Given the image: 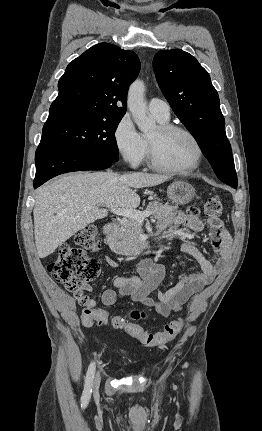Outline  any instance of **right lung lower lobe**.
I'll return each mask as SVG.
<instances>
[{"label": "right lung lower lobe", "mask_w": 262, "mask_h": 431, "mask_svg": "<svg viewBox=\"0 0 262 431\" xmlns=\"http://www.w3.org/2000/svg\"><path fill=\"white\" fill-rule=\"evenodd\" d=\"M35 163L36 175L33 183L34 188H37L57 175L73 171L106 169L113 162L76 148L39 144Z\"/></svg>", "instance_id": "obj_1"}]
</instances>
